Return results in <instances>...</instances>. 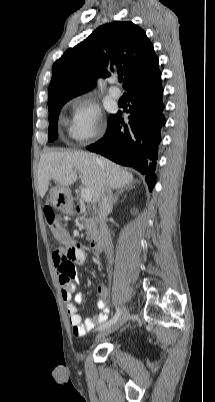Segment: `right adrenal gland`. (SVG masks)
I'll list each match as a JSON object with an SVG mask.
<instances>
[{"mask_svg":"<svg viewBox=\"0 0 215 402\" xmlns=\"http://www.w3.org/2000/svg\"><path fill=\"white\" fill-rule=\"evenodd\" d=\"M130 187H132L131 185L125 186L121 189H119L115 195H114V199H113V205H115L117 203L118 197L120 194H122L125 190H128Z\"/></svg>","mask_w":215,"mask_h":402,"instance_id":"right-adrenal-gland-1","label":"right adrenal gland"}]
</instances>
